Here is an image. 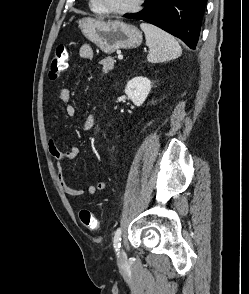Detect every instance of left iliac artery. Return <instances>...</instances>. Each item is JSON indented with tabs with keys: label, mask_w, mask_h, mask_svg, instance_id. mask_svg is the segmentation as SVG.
I'll list each match as a JSON object with an SVG mask.
<instances>
[{
	"label": "left iliac artery",
	"mask_w": 249,
	"mask_h": 294,
	"mask_svg": "<svg viewBox=\"0 0 249 294\" xmlns=\"http://www.w3.org/2000/svg\"><path fill=\"white\" fill-rule=\"evenodd\" d=\"M113 245H114L115 251L117 252V255H119V249L121 247V228H118L115 231Z\"/></svg>",
	"instance_id": "44dca946"
}]
</instances>
